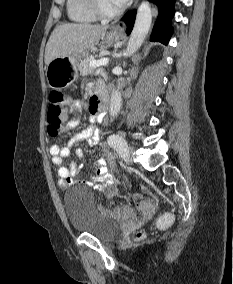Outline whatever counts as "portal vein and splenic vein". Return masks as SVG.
<instances>
[{"instance_id":"1","label":"portal vein and splenic vein","mask_w":233,"mask_h":284,"mask_svg":"<svg viewBox=\"0 0 233 284\" xmlns=\"http://www.w3.org/2000/svg\"><path fill=\"white\" fill-rule=\"evenodd\" d=\"M109 63V59L108 58H102L98 61L96 60H92L90 62V66L91 67H99V66H102V65H107Z\"/></svg>"}]
</instances>
